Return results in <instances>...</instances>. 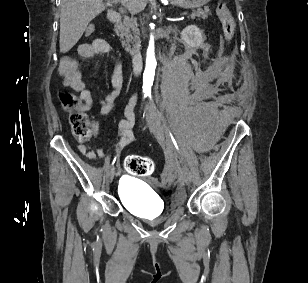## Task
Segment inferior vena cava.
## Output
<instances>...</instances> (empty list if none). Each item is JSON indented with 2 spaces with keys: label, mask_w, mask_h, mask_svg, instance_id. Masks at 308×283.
<instances>
[{
  "label": "inferior vena cava",
  "mask_w": 308,
  "mask_h": 283,
  "mask_svg": "<svg viewBox=\"0 0 308 283\" xmlns=\"http://www.w3.org/2000/svg\"><path fill=\"white\" fill-rule=\"evenodd\" d=\"M131 12H137L138 9L134 6V5H129V8H128Z\"/></svg>",
  "instance_id": "obj_1"
}]
</instances>
